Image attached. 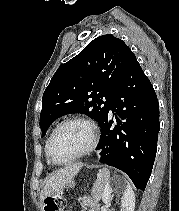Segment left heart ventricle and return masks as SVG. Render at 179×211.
I'll return each mask as SVG.
<instances>
[{"mask_svg":"<svg viewBox=\"0 0 179 211\" xmlns=\"http://www.w3.org/2000/svg\"><path fill=\"white\" fill-rule=\"evenodd\" d=\"M91 133L88 126L80 122L64 125L54 137L51 153L57 161H67L87 148Z\"/></svg>","mask_w":179,"mask_h":211,"instance_id":"b2bd125f","label":"left heart ventricle"}]
</instances>
